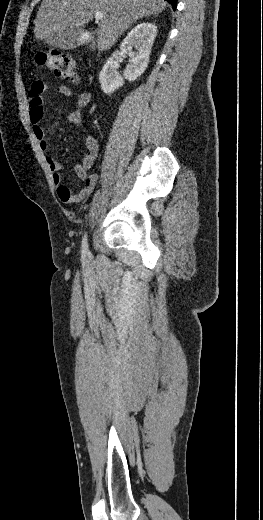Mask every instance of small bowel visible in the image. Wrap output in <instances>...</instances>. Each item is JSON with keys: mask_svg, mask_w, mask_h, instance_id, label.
<instances>
[{"mask_svg": "<svg viewBox=\"0 0 263 520\" xmlns=\"http://www.w3.org/2000/svg\"><path fill=\"white\" fill-rule=\"evenodd\" d=\"M48 89V84L44 81H34L29 89V116L32 124L33 133L39 143L40 148L44 152H49L51 146L41 126L44 115V92ZM58 94L65 97H75V109L68 114V121L72 124L80 126L82 124L81 109L90 101V94L86 91L75 92L66 85H59L56 88ZM86 154L82 162L75 166L74 170L77 177L84 181V186L73 191L70 187L63 183L61 175L62 164L51 156H46V163L52 173V179L57 187L59 199L64 203H75L83 201L98 183V174L89 173L98 153V141L91 135L85 134Z\"/></svg>", "mask_w": 263, "mask_h": 520, "instance_id": "1", "label": "small bowel"}]
</instances>
